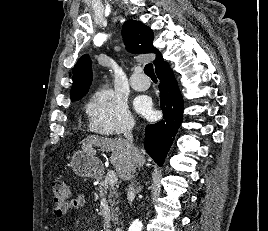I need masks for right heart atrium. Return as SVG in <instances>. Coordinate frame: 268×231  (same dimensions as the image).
Instances as JSON below:
<instances>
[{
    "label": "right heart atrium",
    "instance_id": "d8ad5b80",
    "mask_svg": "<svg viewBox=\"0 0 268 231\" xmlns=\"http://www.w3.org/2000/svg\"><path fill=\"white\" fill-rule=\"evenodd\" d=\"M86 111L90 129L103 136L127 134L134 123L127 102L112 89L102 88L92 93Z\"/></svg>",
    "mask_w": 268,
    "mask_h": 231
}]
</instances>
